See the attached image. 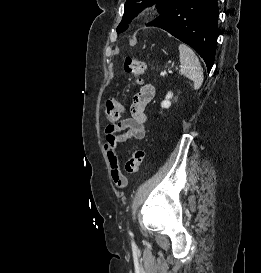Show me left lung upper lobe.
<instances>
[{
  "mask_svg": "<svg viewBox=\"0 0 261 273\" xmlns=\"http://www.w3.org/2000/svg\"><path fill=\"white\" fill-rule=\"evenodd\" d=\"M174 0H127L124 6V15L121 23L117 27V32H123L128 28V24L131 22L132 18L137 16V14L146 6H150L156 3L159 11L165 10Z\"/></svg>",
  "mask_w": 261,
  "mask_h": 273,
  "instance_id": "5c2ea615",
  "label": "left lung upper lobe"
}]
</instances>
